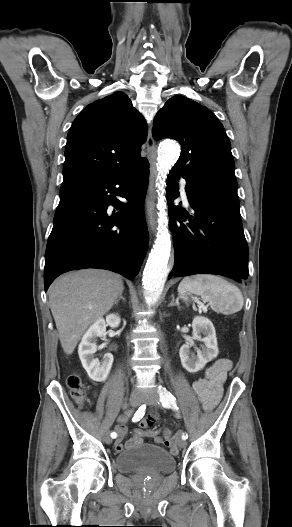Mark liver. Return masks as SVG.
Wrapping results in <instances>:
<instances>
[{
    "mask_svg": "<svg viewBox=\"0 0 292 527\" xmlns=\"http://www.w3.org/2000/svg\"><path fill=\"white\" fill-rule=\"evenodd\" d=\"M123 290L118 274L99 269L70 272L51 284L49 305L67 355L73 353L85 330L112 308Z\"/></svg>",
    "mask_w": 292,
    "mask_h": 527,
    "instance_id": "1",
    "label": "liver"
}]
</instances>
